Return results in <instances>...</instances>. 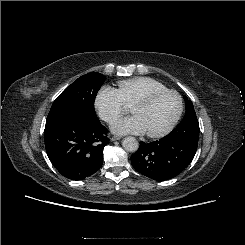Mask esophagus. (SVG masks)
Returning a JSON list of instances; mask_svg holds the SVG:
<instances>
[{"instance_id": "esophagus-1", "label": "esophagus", "mask_w": 245, "mask_h": 245, "mask_svg": "<svg viewBox=\"0 0 245 245\" xmlns=\"http://www.w3.org/2000/svg\"><path fill=\"white\" fill-rule=\"evenodd\" d=\"M120 139H121L120 136H112V137L110 138L111 141H117V140H120Z\"/></svg>"}]
</instances>
